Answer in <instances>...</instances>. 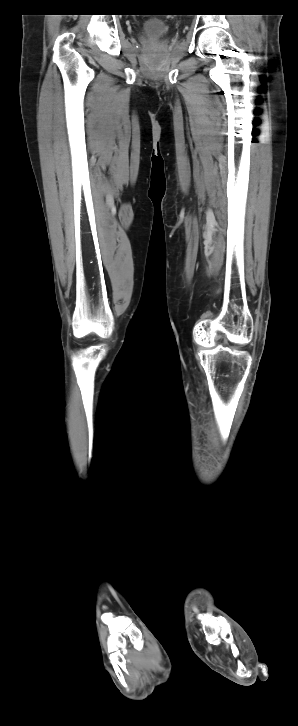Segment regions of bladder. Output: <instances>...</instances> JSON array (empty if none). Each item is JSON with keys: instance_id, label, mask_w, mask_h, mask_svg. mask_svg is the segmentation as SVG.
<instances>
[{"instance_id": "obj_1", "label": "bladder", "mask_w": 298, "mask_h": 726, "mask_svg": "<svg viewBox=\"0 0 298 726\" xmlns=\"http://www.w3.org/2000/svg\"><path fill=\"white\" fill-rule=\"evenodd\" d=\"M143 29L151 34L164 35L168 31V24L160 18H148L143 24Z\"/></svg>"}]
</instances>
